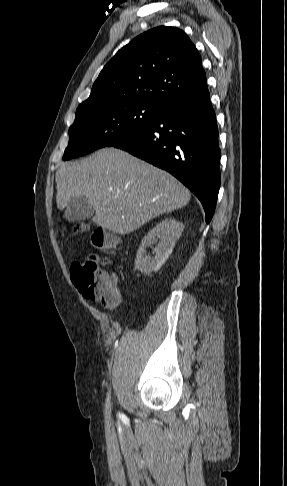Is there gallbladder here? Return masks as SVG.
Listing matches in <instances>:
<instances>
[{
	"label": "gallbladder",
	"instance_id": "gallbladder-1",
	"mask_svg": "<svg viewBox=\"0 0 287 486\" xmlns=\"http://www.w3.org/2000/svg\"><path fill=\"white\" fill-rule=\"evenodd\" d=\"M94 214L92 203L84 196L71 198L65 209V218L69 222L89 219Z\"/></svg>",
	"mask_w": 287,
	"mask_h": 486
}]
</instances>
